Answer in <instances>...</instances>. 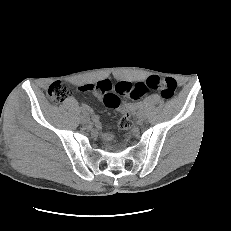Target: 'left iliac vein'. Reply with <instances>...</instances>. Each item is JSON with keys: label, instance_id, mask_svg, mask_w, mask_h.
Listing matches in <instances>:
<instances>
[{"label": "left iliac vein", "instance_id": "4c4485c4", "mask_svg": "<svg viewBox=\"0 0 231 231\" xmlns=\"http://www.w3.org/2000/svg\"><path fill=\"white\" fill-rule=\"evenodd\" d=\"M138 119L140 120V121H144L145 119H146V115H145V113L144 112H139L138 113Z\"/></svg>", "mask_w": 231, "mask_h": 231}]
</instances>
